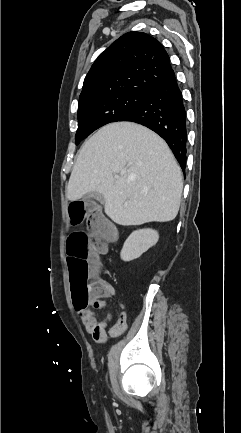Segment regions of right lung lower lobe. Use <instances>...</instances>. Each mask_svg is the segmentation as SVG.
Returning <instances> with one entry per match:
<instances>
[{
	"label": "right lung lower lobe",
	"mask_w": 241,
	"mask_h": 433,
	"mask_svg": "<svg viewBox=\"0 0 241 433\" xmlns=\"http://www.w3.org/2000/svg\"><path fill=\"white\" fill-rule=\"evenodd\" d=\"M120 121L142 124L160 135L185 170L186 112L175 75L149 87L141 105Z\"/></svg>",
	"instance_id": "98d812e1"
}]
</instances>
